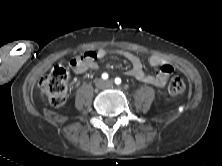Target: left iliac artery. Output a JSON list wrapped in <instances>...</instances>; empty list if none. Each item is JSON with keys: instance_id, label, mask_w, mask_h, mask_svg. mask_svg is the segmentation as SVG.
Masks as SVG:
<instances>
[{"instance_id": "1", "label": "left iliac artery", "mask_w": 222, "mask_h": 166, "mask_svg": "<svg viewBox=\"0 0 222 166\" xmlns=\"http://www.w3.org/2000/svg\"><path fill=\"white\" fill-rule=\"evenodd\" d=\"M115 83H116L117 85L121 84V79H120L119 77H116V78H115Z\"/></svg>"}]
</instances>
